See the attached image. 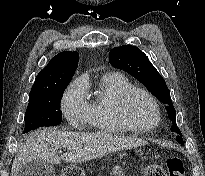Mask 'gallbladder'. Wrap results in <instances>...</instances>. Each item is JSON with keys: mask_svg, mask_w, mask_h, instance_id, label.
I'll list each match as a JSON object with an SVG mask.
<instances>
[{"mask_svg": "<svg viewBox=\"0 0 205 176\" xmlns=\"http://www.w3.org/2000/svg\"><path fill=\"white\" fill-rule=\"evenodd\" d=\"M52 164L44 161H31L21 166L18 176H56Z\"/></svg>", "mask_w": 205, "mask_h": 176, "instance_id": "bac80fb5", "label": "gallbladder"}]
</instances>
